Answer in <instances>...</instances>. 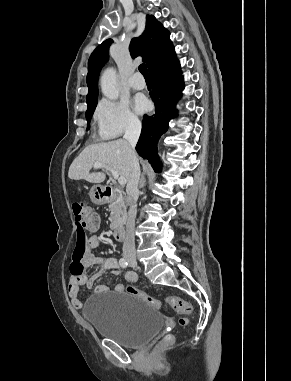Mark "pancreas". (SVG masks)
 <instances>
[{
    "label": "pancreas",
    "instance_id": "obj_1",
    "mask_svg": "<svg viewBox=\"0 0 291 381\" xmlns=\"http://www.w3.org/2000/svg\"><path fill=\"white\" fill-rule=\"evenodd\" d=\"M110 228L116 229L117 227L124 224L126 220V206L121 197H118L110 206Z\"/></svg>",
    "mask_w": 291,
    "mask_h": 381
}]
</instances>
